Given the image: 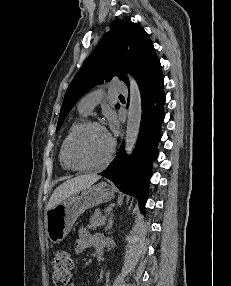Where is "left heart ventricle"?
<instances>
[{"instance_id": "left-heart-ventricle-1", "label": "left heart ventricle", "mask_w": 231, "mask_h": 286, "mask_svg": "<svg viewBox=\"0 0 231 286\" xmlns=\"http://www.w3.org/2000/svg\"><path fill=\"white\" fill-rule=\"evenodd\" d=\"M111 145L109 134L97 127L81 132L73 141L70 155L77 165H86L100 161L108 153Z\"/></svg>"}]
</instances>
